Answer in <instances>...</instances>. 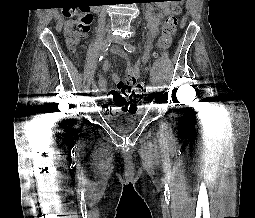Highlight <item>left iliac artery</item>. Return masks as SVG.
Here are the masks:
<instances>
[{
  "label": "left iliac artery",
  "mask_w": 255,
  "mask_h": 218,
  "mask_svg": "<svg viewBox=\"0 0 255 218\" xmlns=\"http://www.w3.org/2000/svg\"><path fill=\"white\" fill-rule=\"evenodd\" d=\"M124 49H125L127 52L132 53V52L135 51V46H133L132 44L126 42V43L124 44ZM152 89H153V87H152L151 85H148V86L146 87V92H151Z\"/></svg>",
  "instance_id": "obj_1"
}]
</instances>
